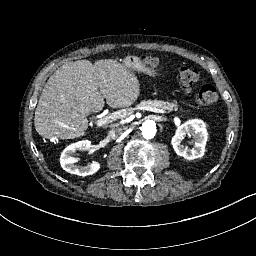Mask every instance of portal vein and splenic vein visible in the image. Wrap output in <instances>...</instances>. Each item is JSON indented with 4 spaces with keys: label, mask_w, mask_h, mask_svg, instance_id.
I'll return each instance as SVG.
<instances>
[{
    "label": "portal vein and splenic vein",
    "mask_w": 256,
    "mask_h": 256,
    "mask_svg": "<svg viewBox=\"0 0 256 256\" xmlns=\"http://www.w3.org/2000/svg\"><path fill=\"white\" fill-rule=\"evenodd\" d=\"M148 110V111H151V112H156V113H160V112H164V108H156V107H153V106H149V105H137V106H133L132 107V110L133 111H137V110ZM130 110L129 108H126L125 110H121V111H116V112H113L111 113L110 115L108 116H105L99 120H97V126L101 127L105 124H108V123H111L112 121H115L117 119H122V118H127V116H130L133 114V111Z\"/></svg>",
    "instance_id": "obj_1"
}]
</instances>
